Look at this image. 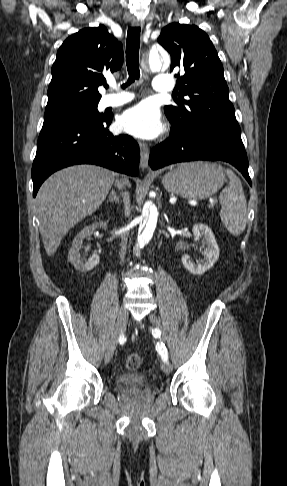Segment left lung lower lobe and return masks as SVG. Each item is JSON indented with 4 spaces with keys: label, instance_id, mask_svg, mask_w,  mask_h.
I'll return each instance as SVG.
<instances>
[{
    "label": "left lung lower lobe",
    "instance_id": "0a47b994",
    "mask_svg": "<svg viewBox=\"0 0 287 486\" xmlns=\"http://www.w3.org/2000/svg\"><path fill=\"white\" fill-rule=\"evenodd\" d=\"M171 125L169 139L151 151L149 165L153 170L177 162L221 160L235 166L252 185L241 136L207 127H180L173 122Z\"/></svg>",
    "mask_w": 287,
    "mask_h": 486
}]
</instances>
